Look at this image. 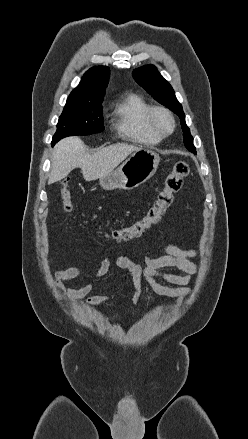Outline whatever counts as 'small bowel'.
Listing matches in <instances>:
<instances>
[{
	"instance_id": "1",
	"label": "small bowel",
	"mask_w": 248,
	"mask_h": 439,
	"mask_svg": "<svg viewBox=\"0 0 248 439\" xmlns=\"http://www.w3.org/2000/svg\"><path fill=\"white\" fill-rule=\"evenodd\" d=\"M165 255L154 256L148 252L144 259V267L131 262L126 257H119L116 260L117 267L127 273L132 286V304H136L143 294L144 286H148L155 294L176 299L174 308H177L181 301L190 294L188 286L192 283L193 277L197 272V264L190 259L197 256L195 249H181L180 247L167 243L163 246ZM111 259L103 257L97 272V277L105 276L110 269ZM166 268H174L184 274H175L164 271ZM78 266L70 267L65 270H57L54 273V283L60 290L61 296H67L71 300L85 299L94 304L109 301L114 298L110 296L90 295L93 285L88 284L81 288H66L64 282L76 278L80 274ZM161 279L171 284L165 285L157 281Z\"/></svg>"
}]
</instances>
